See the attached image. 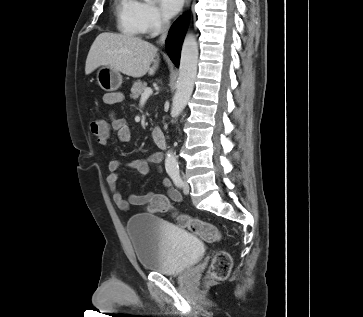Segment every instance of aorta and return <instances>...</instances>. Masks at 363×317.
<instances>
[{
    "instance_id": "aorta-1",
    "label": "aorta",
    "mask_w": 363,
    "mask_h": 317,
    "mask_svg": "<svg viewBox=\"0 0 363 317\" xmlns=\"http://www.w3.org/2000/svg\"><path fill=\"white\" fill-rule=\"evenodd\" d=\"M151 2L152 0H145ZM198 44L193 34L186 35L181 49L179 76L176 84V92L172 100L171 114L178 117L186 107L193 89L197 75ZM165 168L167 171L178 169L176 156L172 150L166 154Z\"/></svg>"
}]
</instances>
